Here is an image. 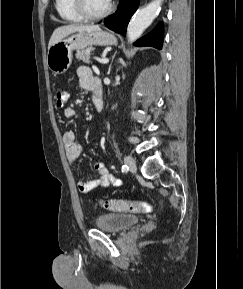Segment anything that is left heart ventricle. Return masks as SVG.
<instances>
[{
	"instance_id": "obj_1",
	"label": "left heart ventricle",
	"mask_w": 243,
	"mask_h": 289,
	"mask_svg": "<svg viewBox=\"0 0 243 289\" xmlns=\"http://www.w3.org/2000/svg\"><path fill=\"white\" fill-rule=\"evenodd\" d=\"M87 9L91 13H100L104 11L108 5L110 0H85Z\"/></svg>"
}]
</instances>
